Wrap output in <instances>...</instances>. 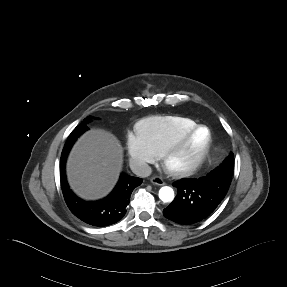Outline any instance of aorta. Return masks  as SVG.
<instances>
[{
	"mask_svg": "<svg viewBox=\"0 0 287 287\" xmlns=\"http://www.w3.org/2000/svg\"><path fill=\"white\" fill-rule=\"evenodd\" d=\"M158 196L165 203L171 202L174 199V191L169 186H163L160 188Z\"/></svg>",
	"mask_w": 287,
	"mask_h": 287,
	"instance_id": "762f6f07",
	"label": "aorta"
}]
</instances>
